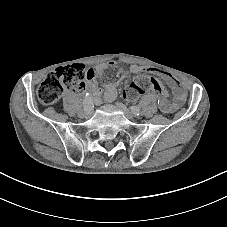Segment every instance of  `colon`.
Wrapping results in <instances>:
<instances>
[{
	"label": "colon",
	"instance_id": "colon-1",
	"mask_svg": "<svg viewBox=\"0 0 227 227\" xmlns=\"http://www.w3.org/2000/svg\"><path fill=\"white\" fill-rule=\"evenodd\" d=\"M86 72L81 64H72L57 68L38 86L37 96L44 105L54 104L65 90L82 92L85 87ZM157 94L160 102H167L168 92L156 79L148 76L137 77L124 91L123 95L134 99L144 92Z\"/></svg>",
	"mask_w": 227,
	"mask_h": 227
}]
</instances>
